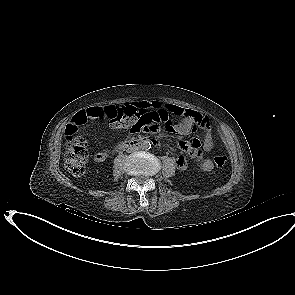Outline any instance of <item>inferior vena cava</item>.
I'll list each match as a JSON object with an SVG mask.
<instances>
[{
  "instance_id": "obj_1",
  "label": "inferior vena cava",
  "mask_w": 295,
  "mask_h": 295,
  "mask_svg": "<svg viewBox=\"0 0 295 295\" xmlns=\"http://www.w3.org/2000/svg\"><path fill=\"white\" fill-rule=\"evenodd\" d=\"M136 150H138V147H136V146H130L126 151L128 152V153H130V152H133V151H136Z\"/></svg>"
}]
</instances>
